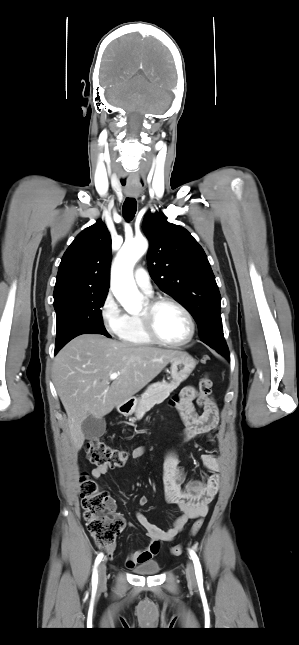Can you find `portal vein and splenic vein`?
<instances>
[{
    "label": "portal vein and splenic vein",
    "instance_id": "18ae733b",
    "mask_svg": "<svg viewBox=\"0 0 299 645\" xmlns=\"http://www.w3.org/2000/svg\"><path fill=\"white\" fill-rule=\"evenodd\" d=\"M119 375H120V373H112V374L110 375V380H114V379H116Z\"/></svg>",
    "mask_w": 299,
    "mask_h": 645
}]
</instances>
